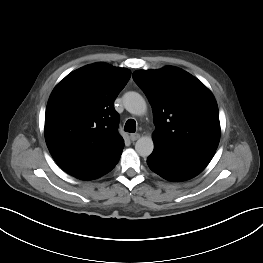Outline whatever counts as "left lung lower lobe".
<instances>
[{"label":"left lung lower lobe","mask_w":263,"mask_h":263,"mask_svg":"<svg viewBox=\"0 0 263 263\" xmlns=\"http://www.w3.org/2000/svg\"><path fill=\"white\" fill-rule=\"evenodd\" d=\"M215 150L177 146L154 141V151L148 157L149 168L169 181H184L198 175L211 161Z\"/></svg>","instance_id":"1"}]
</instances>
